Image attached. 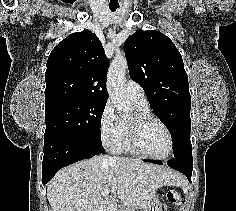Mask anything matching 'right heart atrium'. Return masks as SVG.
<instances>
[{
    "mask_svg": "<svg viewBox=\"0 0 236 211\" xmlns=\"http://www.w3.org/2000/svg\"><path fill=\"white\" fill-rule=\"evenodd\" d=\"M99 134L102 144L114 148L122 134V122L110 101L106 102L99 118Z\"/></svg>",
    "mask_w": 236,
    "mask_h": 211,
    "instance_id": "d8ad5b80",
    "label": "right heart atrium"
}]
</instances>
